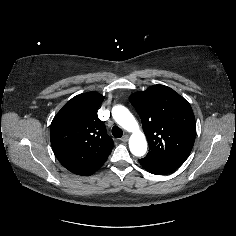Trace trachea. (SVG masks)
Instances as JSON below:
<instances>
[{"label":"trachea","mask_w":236,"mask_h":236,"mask_svg":"<svg viewBox=\"0 0 236 236\" xmlns=\"http://www.w3.org/2000/svg\"><path fill=\"white\" fill-rule=\"evenodd\" d=\"M112 135L116 138H120L123 135V131L118 126L112 128Z\"/></svg>","instance_id":"obj_1"}]
</instances>
